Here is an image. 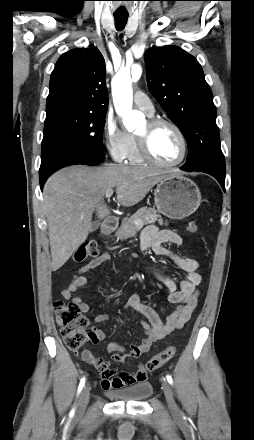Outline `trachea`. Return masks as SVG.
<instances>
[{"label": "trachea", "instance_id": "3493384b", "mask_svg": "<svg viewBox=\"0 0 254 440\" xmlns=\"http://www.w3.org/2000/svg\"><path fill=\"white\" fill-rule=\"evenodd\" d=\"M115 26L117 28V30H123L126 23H127V19L128 16H123V15H115Z\"/></svg>", "mask_w": 254, "mask_h": 440}]
</instances>
